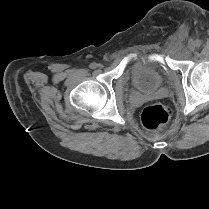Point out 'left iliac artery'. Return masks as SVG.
<instances>
[{
  "mask_svg": "<svg viewBox=\"0 0 209 209\" xmlns=\"http://www.w3.org/2000/svg\"><path fill=\"white\" fill-rule=\"evenodd\" d=\"M195 46L196 47H200L201 46V41L200 40H196L195 41Z\"/></svg>",
  "mask_w": 209,
  "mask_h": 209,
  "instance_id": "left-iliac-artery-1",
  "label": "left iliac artery"
}]
</instances>
